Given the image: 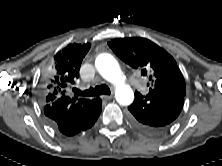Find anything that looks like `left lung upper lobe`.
I'll use <instances>...</instances> for the list:
<instances>
[{
  "instance_id": "5c2ea615",
  "label": "left lung upper lobe",
  "mask_w": 222,
  "mask_h": 166,
  "mask_svg": "<svg viewBox=\"0 0 222 166\" xmlns=\"http://www.w3.org/2000/svg\"><path fill=\"white\" fill-rule=\"evenodd\" d=\"M108 45L121 60L140 69L152 81L147 95L168 92L185 96V81L176 61L152 41L140 37L116 38Z\"/></svg>"
}]
</instances>
